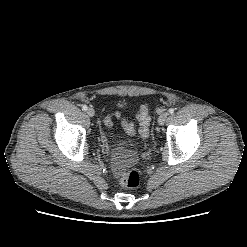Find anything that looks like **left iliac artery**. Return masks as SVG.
Instances as JSON below:
<instances>
[{
	"instance_id": "left-iliac-artery-1",
	"label": "left iliac artery",
	"mask_w": 247,
	"mask_h": 247,
	"mask_svg": "<svg viewBox=\"0 0 247 247\" xmlns=\"http://www.w3.org/2000/svg\"><path fill=\"white\" fill-rule=\"evenodd\" d=\"M168 112H169L170 114H172V113H174V109H173V108H170V109L168 110Z\"/></svg>"
}]
</instances>
